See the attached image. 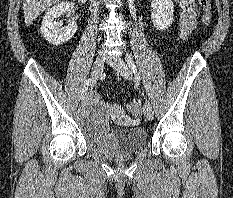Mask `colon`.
<instances>
[{"mask_svg": "<svg viewBox=\"0 0 233 198\" xmlns=\"http://www.w3.org/2000/svg\"><path fill=\"white\" fill-rule=\"evenodd\" d=\"M202 9V23L209 26L212 22L211 14V0H199ZM127 110L133 117H138L141 113V103L139 101H132L127 104Z\"/></svg>", "mask_w": 233, "mask_h": 198, "instance_id": "colon-1", "label": "colon"}]
</instances>
